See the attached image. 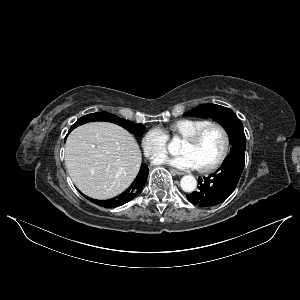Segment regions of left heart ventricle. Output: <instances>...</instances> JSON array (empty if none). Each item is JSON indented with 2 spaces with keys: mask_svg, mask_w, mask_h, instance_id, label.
<instances>
[{
  "mask_svg": "<svg viewBox=\"0 0 300 300\" xmlns=\"http://www.w3.org/2000/svg\"><path fill=\"white\" fill-rule=\"evenodd\" d=\"M224 146V136L217 127L208 129L196 144L183 141L179 153L189 154L197 168L213 163L221 154Z\"/></svg>",
  "mask_w": 300,
  "mask_h": 300,
  "instance_id": "b2bd125f",
  "label": "left heart ventricle"
}]
</instances>
